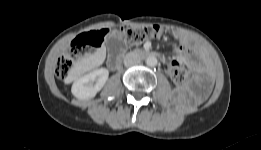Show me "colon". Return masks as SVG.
Instances as JSON below:
<instances>
[{
	"label": "colon",
	"mask_w": 261,
	"mask_h": 150,
	"mask_svg": "<svg viewBox=\"0 0 261 150\" xmlns=\"http://www.w3.org/2000/svg\"><path fill=\"white\" fill-rule=\"evenodd\" d=\"M117 32L129 45H137L147 39L157 38L163 34V30L155 25L140 27L124 25ZM108 33V29H97L78 36L58 59L55 67L56 76L61 79L67 78L79 60L101 47ZM167 71L176 85L183 86L187 82V72L179 62L170 61L167 64Z\"/></svg>",
	"instance_id": "colon-1"
}]
</instances>
